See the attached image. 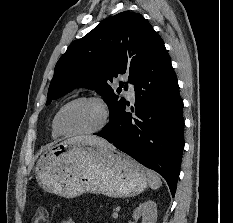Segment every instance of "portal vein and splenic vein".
<instances>
[{
  "label": "portal vein and splenic vein",
  "instance_id": "1",
  "mask_svg": "<svg viewBox=\"0 0 233 223\" xmlns=\"http://www.w3.org/2000/svg\"><path fill=\"white\" fill-rule=\"evenodd\" d=\"M113 217H118V213L117 211H114V213H112Z\"/></svg>",
  "mask_w": 233,
  "mask_h": 223
}]
</instances>
